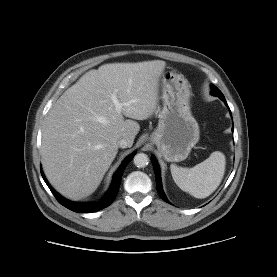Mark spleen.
<instances>
[{
	"label": "spleen",
	"mask_w": 277,
	"mask_h": 277,
	"mask_svg": "<svg viewBox=\"0 0 277 277\" xmlns=\"http://www.w3.org/2000/svg\"><path fill=\"white\" fill-rule=\"evenodd\" d=\"M225 156L215 151L203 162L192 168L170 165L172 178L176 185L195 198H206L220 185L225 172Z\"/></svg>",
	"instance_id": "spleen-1"
}]
</instances>
